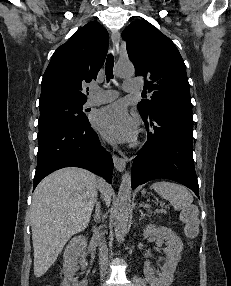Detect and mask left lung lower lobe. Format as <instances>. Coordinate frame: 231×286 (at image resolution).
Instances as JSON below:
<instances>
[{
    "instance_id": "obj_1",
    "label": "left lung lower lobe",
    "mask_w": 231,
    "mask_h": 286,
    "mask_svg": "<svg viewBox=\"0 0 231 286\" xmlns=\"http://www.w3.org/2000/svg\"><path fill=\"white\" fill-rule=\"evenodd\" d=\"M142 118L148 137L133 161L132 188L165 178L187 186L199 197L192 154V109L156 105L149 116Z\"/></svg>"
}]
</instances>
